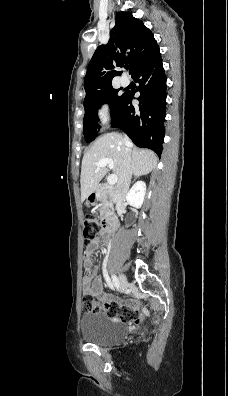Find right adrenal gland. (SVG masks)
<instances>
[{
    "label": "right adrenal gland",
    "instance_id": "right-adrenal-gland-1",
    "mask_svg": "<svg viewBox=\"0 0 228 396\" xmlns=\"http://www.w3.org/2000/svg\"><path fill=\"white\" fill-rule=\"evenodd\" d=\"M137 178H138V176H136V177L134 178V181H135Z\"/></svg>",
    "mask_w": 228,
    "mask_h": 396
}]
</instances>
